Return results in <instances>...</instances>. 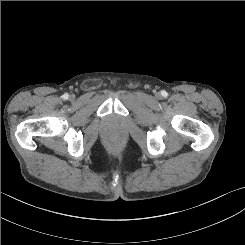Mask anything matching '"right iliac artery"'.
Listing matches in <instances>:
<instances>
[{
    "label": "right iliac artery",
    "mask_w": 245,
    "mask_h": 245,
    "mask_svg": "<svg viewBox=\"0 0 245 245\" xmlns=\"http://www.w3.org/2000/svg\"><path fill=\"white\" fill-rule=\"evenodd\" d=\"M68 97H69V95H68L67 93H65V94L63 95V98H64V99H68Z\"/></svg>",
    "instance_id": "1"
}]
</instances>
